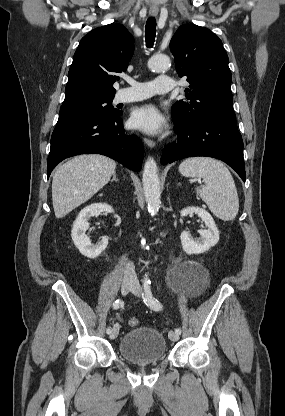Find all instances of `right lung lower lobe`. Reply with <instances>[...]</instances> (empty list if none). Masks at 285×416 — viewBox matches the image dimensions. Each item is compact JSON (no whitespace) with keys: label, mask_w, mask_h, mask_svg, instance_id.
<instances>
[{"label":"right lung lower lobe","mask_w":285,"mask_h":416,"mask_svg":"<svg viewBox=\"0 0 285 416\" xmlns=\"http://www.w3.org/2000/svg\"><path fill=\"white\" fill-rule=\"evenodd\" d=\"M86 153L106 155L135 172L141 170L142 143L125 131L120 115L59 119L51 137L47 177L65 158Z\"/></svg>","instance_id":"1"}]
</instances>
